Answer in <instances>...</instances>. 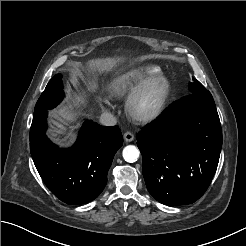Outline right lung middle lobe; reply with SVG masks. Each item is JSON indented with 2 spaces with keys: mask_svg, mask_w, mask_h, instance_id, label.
Masks as SVG:
<instances>
[{
  "mask_svg": "<svg viewBox=\"0 0 246 246\" xmlns=\"http://www.w3.org/2000/svg\"><path fill=\"white\" fill-rule=\"evenodd\" d=\"M62 75H55L47 84L44 92L38 99L34 113L40 110H49L57 106L64 97Z\"/></svg>",
  "mask_w": 246,
  "mask_h": 246,
  "instance_id": "right-lung-middle-lobe-1",
  "label": "right lung middle lobe"
}]
</instances>
